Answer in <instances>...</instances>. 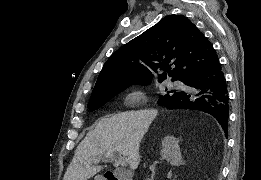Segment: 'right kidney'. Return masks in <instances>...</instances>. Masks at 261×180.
Segmentation results:
<instances>
[{
    "label": "right kidney",
    "mask_w": 261,
    "mask_h": 180,
    "mask_svg": "<svg viewBox=\"0 0 261 180\" xmlns=\"http://www.w3.org/2000/svg\"><path fill=\"white\" fill-rule=\"evenodd\" d=\"M161 156L163 160H167L172 166H181L183 164L178 140L174 136H166L162 140Z\"/></svg>",
    "instance_id": "obj_1"
}]
</instances>
